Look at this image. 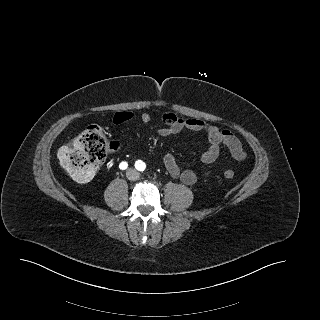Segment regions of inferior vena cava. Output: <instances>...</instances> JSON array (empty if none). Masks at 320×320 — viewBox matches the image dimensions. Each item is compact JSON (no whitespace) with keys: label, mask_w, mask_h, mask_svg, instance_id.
Wrapping results in <instances>:
<instances>
[{"label":"inferior vena cava","mask_w":320,"mask_h":320,"mask_svg":"<svg viewBox=\"0 0 320 320\" xmlns=\"http://www.w3.org/2000/svg\"><path fill=\"white\" fill-rule=\"evenodd\" d=\"M139 172H137L136 170H133V169H130L128 172H127V177L128 179L130 180H135V179H138L139 178Z\"/></svg>","instance_id":"inferior-vena-cava-1"}]
</instances>
